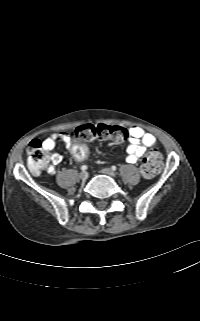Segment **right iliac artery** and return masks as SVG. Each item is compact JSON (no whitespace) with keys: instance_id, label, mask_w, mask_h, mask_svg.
Segmentation results:
<instances>
[{"instance_id":"right-iliac-artery-1","label":"right iliac artery","mask_w":200,"mask_h":321,"mask_svg":"<svg viewBox=\"0 0 200 321\" xmlns=\"http://www.w3.org/2000/svg\"><path fill=\"white\" fill-rule=\"evenodd\" d=\"M81 170L83 171L87 170V166L86 165L81 166Z\"/></svg>"}]
</instances>
